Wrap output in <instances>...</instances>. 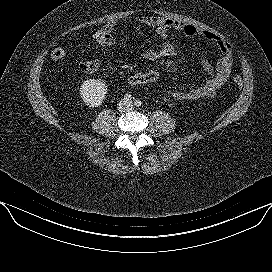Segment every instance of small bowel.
I'll return each instance as SVG.
<instances>
[{
	"mask_svg": "<svg viewBox=\"0 0 272 272\" xmlns=\"http://www.w3.org/2000/svg\"><path fill=\"white\" fill-rule=\"evenodd\" d=\"M136 22L154 28L160 38V42L156 48L140 53L139 56L143 60L156 61L164 57L178 54L177 49L168 39L169 30L181 32L186 37H201L216 46L219 51V59L215 71H213L210 62L207 59H201L200 61L203 70L209 75L204 83L187 90H169L168 93L172 97L191 101L212 97L227 81L232 67L233 56L229 43L220 36L172 18L144 16L137 18ZM116 25L117 23L115 21H109L102 29L113 34Z\"/></svg>",
	"mask_w": 272,
	"mask_h": 272,
	"instance_id": "1",
	"label": "small bowel"
}]
</instances>
